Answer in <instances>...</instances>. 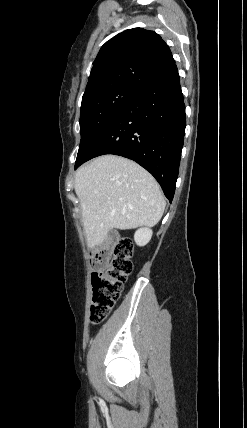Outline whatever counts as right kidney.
Returning <instances> with one entry per match:
<instances>
[{"instance_id":"right-kidney-1","label":"right kidney","mask_w":247,"mask_h":428,"mask_svg":"<svg viewBox=\"0 0 247 428\" xmlns=\"http://www.w3.org/2000/svg\"><path fill=\"white\" fill-rule=\"evenodd\" d=\"M152 237V230L148 228H141L135 232L134 240L137 245L145 246Z\"/></svg>"}]
</instances>
